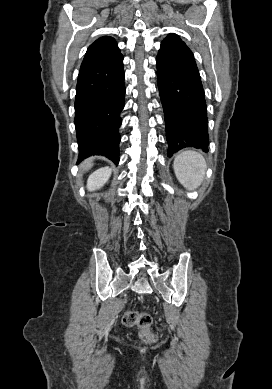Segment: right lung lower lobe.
<instances>
[{"label":"right lung lower lobe","instance_id":"right-lung-lower-lobe-1","mask_svg":"<svg viewBox=\"0 0 272 389\" xmlns=\"http://www.w3.org/2000/svg\"><path fill=\"white\" fill-rule=\"evenodd\" d=\"M122 54L80 70L76 86L75 118L79 158L103 155L119 162L120 113L124 108Z\"/></svg>","mask_w":272,"mask_h":389}]
</instances>
